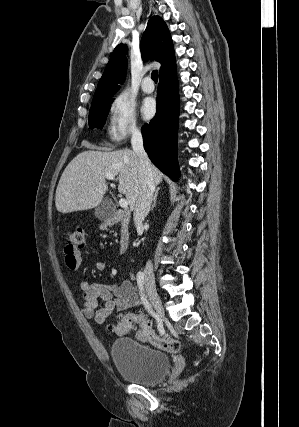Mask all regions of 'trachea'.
<instances>
[{
  "label": "trachea",
  "mask_w": 299,
  "mask_h": 427,
  "mask_svg": "<svg viewBox=\"0 0 299 427\" xmlns=\"http://www.w3.org/2000/svg\"><path fill=\"white\" fill-rule=\"evenodd\" d=\"M151 78H152V80H153L155 83H157V81H158V71H157V70H154V71L151 73Z\"/></svg>",
  "instance_id": "obj_1"
}]
</instances>
